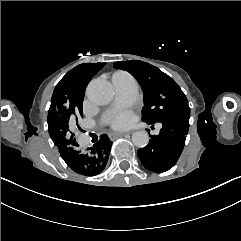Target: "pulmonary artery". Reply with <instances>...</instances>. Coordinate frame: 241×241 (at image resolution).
<instances>
[{
    "instance_id": "obj_1",
    "label": "pulmonary artery",
    "mask_w": 241,
    "mask_h": 241,
    "mask_svg": "<svg viewBox=\"0 0 241 241\" xmlns=\"http://www.w3.org/2000/svg\"><path fill=\"white\" fill-rule=\"evenodd\" d=\"M112 84L115 88V97L112 103H109L104 108V113L109 118H114L118 115L119 109L129 106L133 99V77L125 72L115 73L112 76ZM103 116V119L106 117Z\"/></svg>"
}]
</instances>
